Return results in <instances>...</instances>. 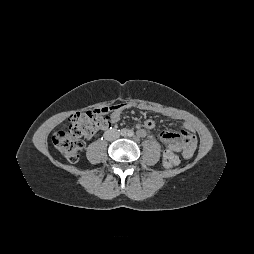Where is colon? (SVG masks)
I'll return each instance as SVG.
<instances>
[{
	"mask_svg": "<svg viewBox=\"0 0 254 254\" xmlns=\"http://www.w3.org/2000/svg\"><path fill=\"white\" fill-rule=\"evenodd\" d=\"M108 115V107L72 115L68 126L53 134L54 145L67 161L76 163L84 148V138L91 137L98 129L105 126ZM179 162V157L175 154L167 155L163 159L164 167L169 170L176 168Z\"/></svg>",
	"mask_w": 254,
	"mask_h": 254,
	"instance_id": "5ec220e1",
	"label": "colon"
}]
</instances>
